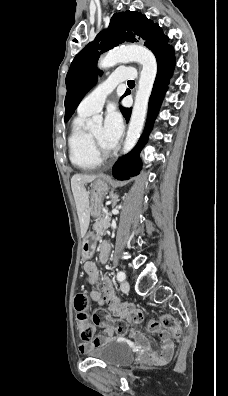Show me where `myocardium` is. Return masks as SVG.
<instances>
[{"mask_svg":"<svg viewBox=\"0 0 228 396\" xmlns=\"http://www.w3.org/2000/svg\"><path fill=\"white\" fill-rule=\"evenodd\" d=\"M89 136H90L93 150L100 160L108 158L114 154V152H115L114 149H105L99 143V141L95 138V136L92 134V132L89 133Z\"/></svg>","mask_w":228,"mask_h":396,"instance_id":"1","label":"myocardium"}]
</instances>
